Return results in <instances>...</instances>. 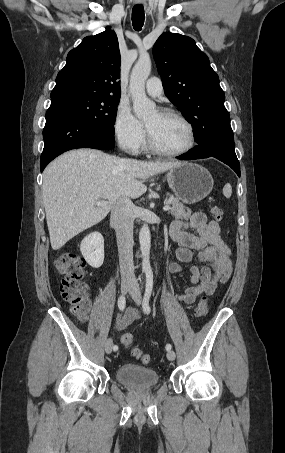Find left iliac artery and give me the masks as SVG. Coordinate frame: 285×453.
<instances>
[{
	"mask_svg": "<svg viewBox=\"0 0 285 453\" xmlns=\"http://www.w3.org/2000/svg\"><path fill=\"white\" fill-rule=\"evenodd\" d=\"M152 290H153V274L152 272H147L146 273V287H145V293H144V298H143V311L146 313V314H149L150 313V306H149V301H150V297H151V294H152ZM172 346L171 344H167L166 345V350L169 351L171 350Z\"/></svg>",
	"mask_w": 285,
	"mask_h": 453,
	"instance_id": "left-iliac-artery-1",
	"label": "left iliac artery"
}]
</instances>
